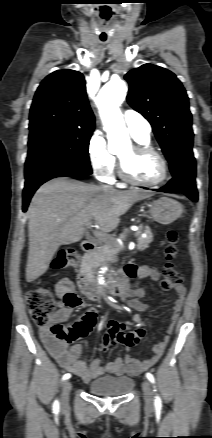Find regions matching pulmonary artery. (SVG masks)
Masks as SVG:
<instances>
[{"label":"pulmonary artery","instance_id":"1","mask_svg":"<svg viewBox=\"0 0 212 438\" xmlns=\"http://www.w3.org/2000/svg\"><path fill=\"white\" fill-rule=\"evenodd\" d=\"M123 118L126 127L135 139L147 140L150 138L151 126L139 112L126 110Z\"/></svg>","mask_w":212,"mask_h":438}]
</instances>
